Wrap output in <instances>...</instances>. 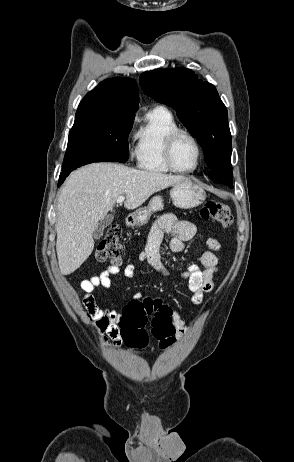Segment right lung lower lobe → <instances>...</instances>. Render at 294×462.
Here are the masks:
<instances>
[{"label":"right lung lower lobe","instance_id":"right-lung-lower-lobe-1","mask_svg":"<svg viewBox=\"0 0 294 462\" xmlns=\"http://www.w3.org/2000/svg\"><path fill=\"white\" fill-rule=\"evenodd\" d=\"M73 170H69V171H65V172H62L60 174V177H59V181H58V186H60L64 180L66 179V177L72 172Z\"/></svg>","mask_w":294,"mask_h":462}]
</instances>
